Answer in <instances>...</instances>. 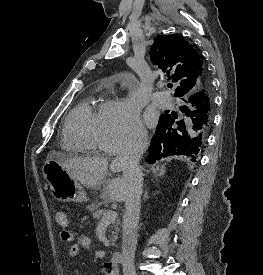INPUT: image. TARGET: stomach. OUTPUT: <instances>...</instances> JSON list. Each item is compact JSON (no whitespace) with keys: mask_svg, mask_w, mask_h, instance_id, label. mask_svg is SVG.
Returning a JSON list of instances; mask_svg holds the SVG:
<instances>
[{"mask_svg":"<svg viewBox=\"0 0 263 275\" xmlns=\"http://www.w3.org/2000/svg\"><path fill=\"white\" fill-rule=\"evenodd\" d=\"M43 175L47 180L52 196L61 202H84L86 192L81 184L54 159L46 160Z\"/></svg>","mask_w":263,"mask_h":275,"instance_id":"obj_1","label":"stomach"}]
</instances>
